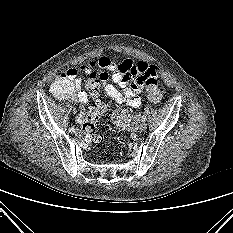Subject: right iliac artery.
<instances>
[{
  "mask_svg": "<svg viewBox=\"0 0 233 233\" xmlns=\"http://www.w3.org/2000/svg\"><path fill=\"white\" fill-rule=\"evenodd\" d=\"M75 130H76V129H75L74 127H70V128H69V131H70L71 133H74Z\"/></svg>",
  "mask_w": 233,
  "mask_h": 233,
  "instance_id": "82829eb1",
  "label": "right iliac artery"
}]
</instances>
